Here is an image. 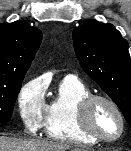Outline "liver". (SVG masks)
Instances as JSON below:
<instances>
[{
  "label": "liver",
  "mask_w": 131,
  "mask_h": 151,
  "mask_svg": "<svg viewBox=\"0 0 131 151\" xmlns=\"http://www.w3.org/2000/svg\"><path fill=\"white\" fill-rule=\"evenodd\" d=\"M69 149L71 146L65 143L0 137V151H68ZM75 150L81 151V149Z\"/></svg>",
  "instance_id": "1"
}]
</instances>
